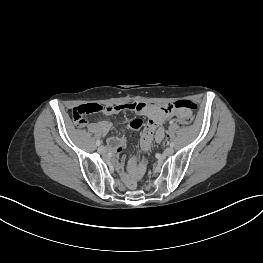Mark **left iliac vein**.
<instances>
[{"label": "left iliac vein", "mask_w": 263, "mask_h": 263, "mask_svg": "<svg viewBox=\"0 0 263 263\" xmlns=\"http://www.w3.org/2000/svg\"><path fill=\"white\" fill-rule=\"evenodd\" d=\"M173 153H174V150H173L172 147H168V148H166L165 151H164V155H165V156H170V155H172Z\"/></svg>", "instance_id": "1"}]
</instances>
